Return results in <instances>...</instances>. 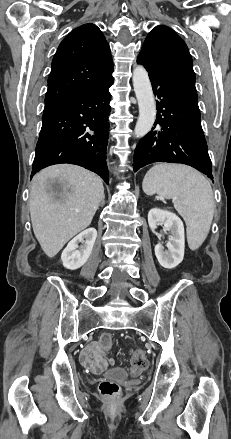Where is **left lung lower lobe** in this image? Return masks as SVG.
<instances>
[{"label":"left lung lower lobe","instance_id":"0a47b994","mask_svg":"<svg viewBox=\"0 0 231 439\" xmlns=\"http://www.w3.org/2000/svg\"><path fill=\"white\" fill-rule=\"evenodd\" d=\"M137 63L148 71L158 100L155 127L135 149L134 172L154 162H172L192 166L213 180L198 99L146 56L139 55Z\"/></svg>","mask_w":231,"mask_h":439}]
</instances>
